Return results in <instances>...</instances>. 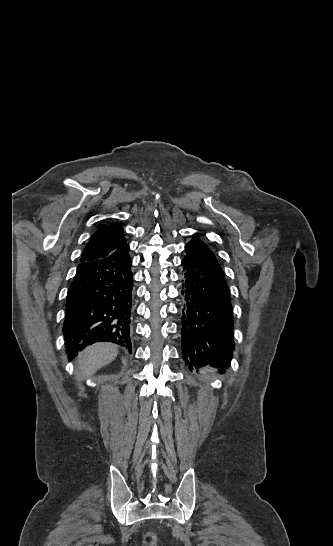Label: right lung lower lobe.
Masks as SVG:
<instances>
[{
  "label": "right lung lower lobe",
  "mask_w": 333,
  "mask_h": 546,
  "mask_svg": "<svg viewBox=\"0 0 333 546\" xmlns=\"http://www.w3.org/2000/svg\"><path fill=\"white\" fill-rule=\"evenodd\" d=\"M128 244L108 256L82 261L66 299L63 334L72 359L95 342H112L131 352L133 274Z\"/></svg>",
  "instance_id": "98d812e1"
}]
</instances>
